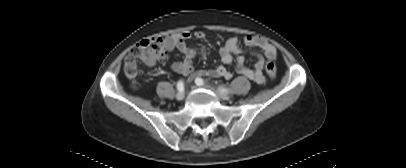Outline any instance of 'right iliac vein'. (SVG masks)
Returning <instances> with one entry per match:
<instances>
[{"label":"right iliac vein","mask_w":406,"mask_h":168,"mask_svg":"<svg viewBox=\"0 0 406 168\" xmlns=\"http://www.w3.org/2000/svg\"><path fill=\"white\" fill-rule=\"evenodd\" d=\"M184 97H185L184 92H179V93L176 94V99L177 100H182V99H184Z\"/></svg>","instance_id":"obj_1"}]
</instances>
